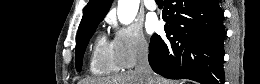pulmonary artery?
Masks as SVG:
<instances>
[{"label":"pulmonary artery","mask_w":260,"mask_h":84,"mask_svg":"<svg viewBox=\"0 0 260 84\" xmlns=\"http://www.w3.org/2000/svg\"><path fill=\"white\" fill-rule=\"evenodd\" d=\"M144 4L148 10L154 11L157 9V4L154 0H145Z\"/></svg>","instance_id":"1"}]
</instances>
